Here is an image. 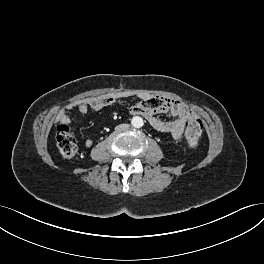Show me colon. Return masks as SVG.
Masks as SVG:
<instances>
[{
  "label": "colon",
  "instance_id": "obj_1",
  "mask_svg": "<svg viewBox=\"0 0 264 264\" xmlns=\"http://www.w3.org/2000/svg\"><path fill=\"white\" fill-rule=\"evenodd\" d=\"M203 125L201 120L190 118L185 124V138L190 148H196L202 135ZM56 143L60 153L67 158H72L78 151L75 137L71 133L68 123L61 122L57 126Z\"/></svg>",
  "mask_w": 264,
  "mask_h": 264
}]
</instances>
